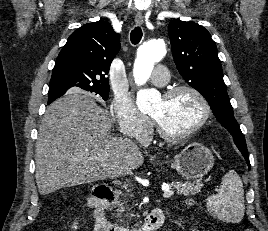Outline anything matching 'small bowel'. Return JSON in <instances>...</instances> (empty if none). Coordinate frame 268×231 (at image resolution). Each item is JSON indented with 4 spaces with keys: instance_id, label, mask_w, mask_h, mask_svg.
Masks as SVG:
<instances>
[{
    "instance_id": "1",
    "label": "small bowel",
    "mask_w": 268,
    "mask_h": 231,
    "mask_svg": "<svg viewBox=\"0 0 268 231\" xmlns=\"http://www.w3.org/2000/svg\"><path fill=\"white\" fill-rule=\"evenodd\" d=\"M190 204H191V202H188V203H187V205H190Z\"/></svg>"
}]
</instances>
